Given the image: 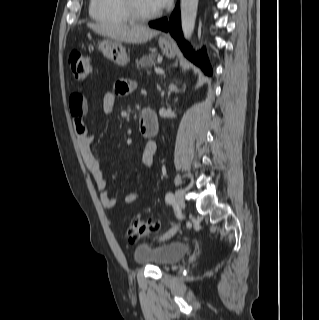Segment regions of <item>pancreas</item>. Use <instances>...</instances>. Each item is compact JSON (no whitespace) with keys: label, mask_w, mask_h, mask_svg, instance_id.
<instances>
[{"label":"pancreas","mask_w":319,"mask_h":320,"mask_svg":"<svg viewBox=\"0 0 319 320\" xmlns=\"http://www.w3.org/2000/svg\"><path fill=\"white\" fill-rule=\"evenodd\" d=\"M157 58L156 53H152L149 55H143L139 61H137V68L139 70L141 69H147L148 67H151L155 64Z\"/></svg>","instance_id":"pancreas-1"}]
</instances>
